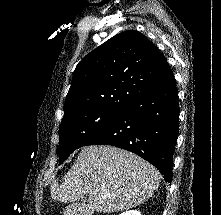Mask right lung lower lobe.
<instances>
[{"mask_svg":"<svg viewBox=\"0 0 221 215\" xmlns=\"http://www.w3.org/2000/svg\"><path fill=\"white\" fill-rule=\"evenodd\" d=\"M178 119V92L171 75L158 89L120 112L114 122L82 146L106 144L131 151L153 164L165 181L171 182Z\"/></svg>","mask_w":221,"mask_h":215,"instance_id":"obj_1","label":"right lung lower lobe"}]
</instances>
